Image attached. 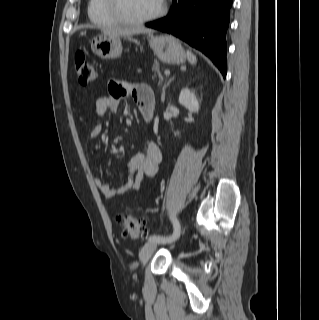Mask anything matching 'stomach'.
Masks as SVG:
<instances>
[{
  "mask_svg": "<svg viewBox=\"0 0 319 320\" xmlns=\"http://www.w3.org/2000/svg\"><path fill=\"white\" fill-rule=\"evenodd\" d=\"M149 45L157 58L168 64H181L186 54L178 39L171 35H149ZM92 51L102 59H116L122 52L120 36L98 35L91 41Z\"/></svg>",
  "mask_w": 319,
  "mask_h": 320,
  "instance_id": "stomach-1",
  "label": "stomach"
}]
</instances>
